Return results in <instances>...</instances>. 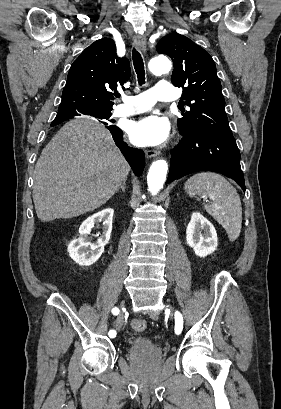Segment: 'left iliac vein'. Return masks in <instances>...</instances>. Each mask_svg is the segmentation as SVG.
Here are the masks:
<instances>
[{
  "instance_id": "1",
  "label": "left iliac vein",
  "mask_w": 281,
  "mask_h": 409,
  "mask_svg": "<svg viewBox=\"0 0 281 409\" xmlns=\"http://www.w3.org/2000/svg\"><path fill=\"white\" fill-rule=\"evenodd\" d=\"M170 308H171V306H170V305H167V310H168V311H170ZM171 317H172V315H171Z\"/></svg>"
}]
</instances>
